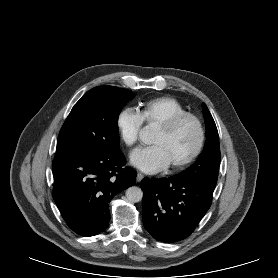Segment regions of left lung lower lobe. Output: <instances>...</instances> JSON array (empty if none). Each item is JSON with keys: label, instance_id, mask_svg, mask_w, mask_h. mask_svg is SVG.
<instances>
[{"label": "left lung lower lobe", "instance_id": "1", "mask_svg": "<svg viewBox=\"0 0 278 278\" xmlns=\"http://www.w3.org/2000/svg\"><path fill=\"white\" fill-rule=\"evenodd\" d=\"M214 183L177 179H143V224L156 240L173 243L188 237L212 202Z\"/></svg>", "mask_w": 278, "mask_h": 278}]
</instances>
